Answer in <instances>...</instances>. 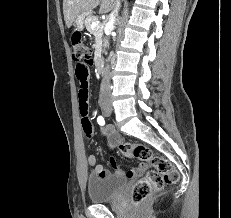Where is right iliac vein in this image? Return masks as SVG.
<instances>
[{
	"mask_svg": "<svg viewBox=\"0 0 231 218\" xmlns=\"http://www.w3.org/2000/svg\"><path fill=\"white\" fill-rule=\"evenodd\" d=\"M102 111L105 115H110L112 112V107L109 105L102 106Z\"/></svg>",
	"mask_w": 231,
	"mask_h": 218,
	"instance_id": "obj_1",
	"label": "right iliac vein"
}]
</instances>
